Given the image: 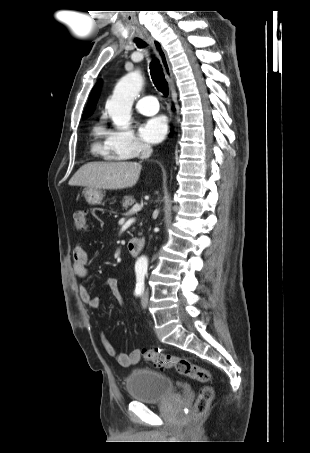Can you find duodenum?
<instances>
[{
    "instance_id": "1",
    "label": "duodenum",
    "mask_w": 310,
    "mask_h": 453,
    "mask_svg": "<svg viewBox=\"0 0 310 453\" xmlns=\"http://www.w3.org/2000/svg\"><path fill=\"white\" fill-rule=\"evenodd\" d=\"M144 246L145 241L142 238H133L129 240L127 244L128 251L133 257L138 256L142 249L144 248Z\"/></svg>"
}]
</instances>
